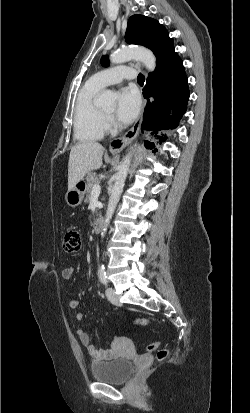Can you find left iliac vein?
I'll use <instances>...</instances> for the list:
<instances>
[{"instance_id": "4c4485c4", "label": "left iliac vein", "mask_w": 250, "mask_h": 413, "mask_svg": "<svg viewBox=\"0 0 250 413\" xmlns=\"http://www.w3.org/2000/svg\"><path fill=\"white\" fill-rule=\"evenodd\" d=\"M106 296L112 304L117 306L121 305V302L119 301V298L117 297L115 290L112 287H108L106 289Z\"/></svg>"}]
</instances>
